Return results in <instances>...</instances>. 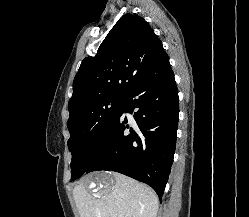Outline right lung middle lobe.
<instances>
[{
    "label": "right lung middle lobe",
    "instance_id": "obj_1",
    "mask_svg": "<svg viewBox=\"0 0 249 217\" xmlns=\"http://www.w3.org/2000/svg\"><path fill=\"white\" fill-rule=\"evenodd\" d=\"M125 97H105L91 101L70 113L68 148L72 153L71 180L84 174L83 165L93 147L101 140L119 115Z\"/></svg>",
    "mask_w": 249,
    "mask_h": 217
}]
</instances>
